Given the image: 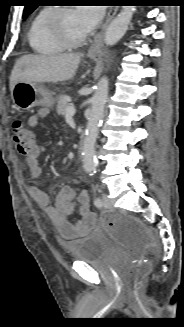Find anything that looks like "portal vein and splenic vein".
<instances>
[{
    "label": "portal vein and splenic vein",
    "instance_id": "portal-vein-and-splenic-vein-1",
    "mask_svg": "<svg viewBox=\"0 0 184 327\" xmlns=\"http://www.w3.org/2000/svg\"><path fill=\"white\" fill-rule=\"evenodd\" d=\"M74 114H75V108H74V106L71 105L66 109L65 116L70 117V116H73Z\"/></svg>",
    "mask_w": 184,
    "mask_h": 327
}]
</instances>
